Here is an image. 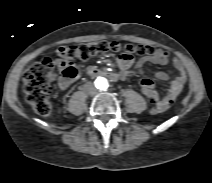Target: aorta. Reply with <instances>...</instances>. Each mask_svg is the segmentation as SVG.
<instances>
[{"mask_svg":"<svg viewBox=\"0 0 212 183\" xmlns=\"http://www.w3.org/2000/svg\"><path fill=\"white\" fill-rule=\"evenodd\" d=\"M95 85L100 90H106L109 87V82L106 77L98 76L95 80Z\"/></svg>","mask_w":212,"mask_h":183,"instance_id":"1","label":"aorta"}]
</instances>
